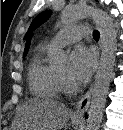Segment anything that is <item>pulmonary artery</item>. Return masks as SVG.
<instances>
[{
  "label": "pulmonary artery",
  "mask_w": 123,
  "mask_h": 130,
  "mask_svg": "<svg viewBox=\"0 0 123 130\" xmlns=\"http://www.w3.org/2000/svg\"><path fill=\"white\" fill-rule=\"evenodd\" d=\"M87 34L88 30L85 26L70 25L62 29L55 36H53L50 39L49 44L54 48H58L79 41Z\"/></svg>",
  "instance_id": "e3ab8cb5"
}]
</instances>
